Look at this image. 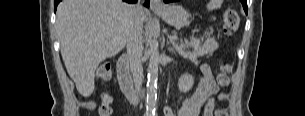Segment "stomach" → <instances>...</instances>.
<instances>
[{
    "label": "stomach",
    "mask_w": 305,
    "mask_h": 116,
    "mask_svg": "<svg viewBox=\"0 0 305 116\" xmlns=\"http://www.w3.org/2000/svg\"><path fill=\"white\" fill-rule=\"evenodd\" d=\"M155 13L176 28L187 26L190 23V14L180 5H165L162 9L155 10Z\"/></svg>",
    "instance_id": "0dacf381"
}]
</instances>
